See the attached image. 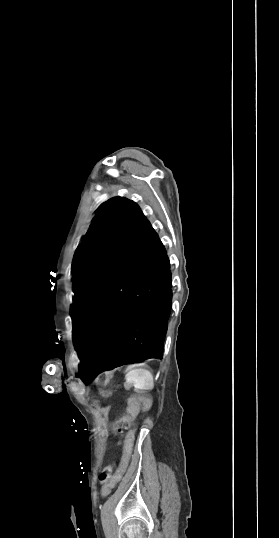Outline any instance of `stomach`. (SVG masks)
<instances>
[{"label":"stomach","mask_w":279,"mask_h":538,"mask_svg":"<svg viewBox=\"0 0 279 538\" xmlns=\"http://www.w3.org/2000/svg\"><path fill=\"white\" fill-rule=\"evenodd\" d=\"M104 393H105V395H104V396H105V398H106V399H108V400H109V399H111V398H112V396H113V395H112V393H111V392H109V391L107 392V390H104Z\"/></svg>","instance_id":"0dacf381"}]
</instances>
